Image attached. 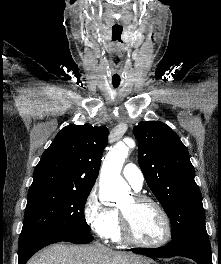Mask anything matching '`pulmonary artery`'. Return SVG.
Here are the masks:
<instances>
[{
    "label": "pulmonary artery",
    "instance_id": "1",
    "mask_svg": "<svg viewBox=\"0 0 221 264\" xmlns=\"http://www.w3.org/2000/svg\"><path fill=\"white\" fill-rule=\"evenodd\" d=\"M122 175L134 190L139 191L142 188L144 175L141 169L135 164H126L123 168Z\"/></svg>",
    "mask_w": 221,
    "mask_h": 264
}]
</instances>
